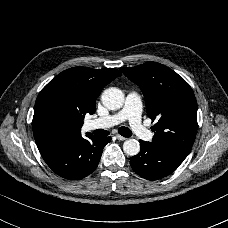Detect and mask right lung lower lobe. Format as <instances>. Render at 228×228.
<instances>
[{"label": "right lung lower lobe", "mask_w": 228, "mask_h": 228, "mask_svg": "<svg viewBox=\"0 0 228 228\" xmlns=\"http://www.w3.org/2000/svg\"><path fill=\"white\" fill-rule=\"evenodd\" d=\"M63 139L39 149L44 161L57 175L78 180L91 174L98 166L104 146L110 137L100 138L87 134Z\"/></svg>", "instance_id": "98d812e1"}]
</instances>
